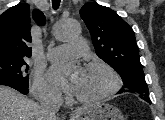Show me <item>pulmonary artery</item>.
<instances>
[{
  "label": "pulmonary artery",
  "instance_id": "e3ab8cb5",
  "mask_svg": "<svg viewBox=\"0 0 165 120\" xmlns=\"http://www.w3.org/2000/svg\"><path fill=\"white\" fill-rule=\"evenodd\" d=\"M87 46L82 40H74L68 44L59 45L47 52L50 60H58L68 56H77L86 53Z\"/></svg>",
  "mask_w": 165,
  "mask_h": 120
}]
</instances>
